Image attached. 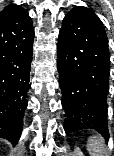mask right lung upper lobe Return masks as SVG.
I'll use <instances>...</instances> for the list:
<instances>
[{
  "label": "right lung upper lobe",
  "instance_id": "cb5924a9",
  "mask_svg": "<svg viewBox=\"0 0 114 156\" xmlns=\"http://www.w3.org/2000/svg\"><path fill=\"white\" fill-rule=\"evenodd\" d=\"M19 9H22L20 6L18 5H14V4H11L7 7H5L1 12H0V18L9 14V13H12V12H15Z\"/></svg>",
  "mask_w": 114,
  "mask_h": 156
}]
</instances>
